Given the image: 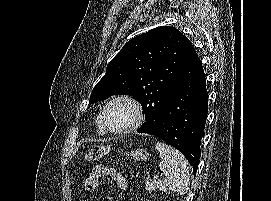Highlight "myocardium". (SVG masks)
Returning <instances> with one entry per match:
<instances>
[{
	"label": "myocardium",
	"mask_w": 271,
	"mask_h": 201,
	"mask_svg": "<svg viewBox=\"0 0 271 201\" xmlns=\"http://www.w3.org/2000/svg\"><path fill=\"white\" fill-rule=\"evenodd\" d=\"M119 101L127 102L128 104L131 105V107L133 108L135 112V120L131 125L125 128L115 129L111 127L109 123L107 122L106 111L111 104L115 102H119ZM100 120L102 122L103 127L105 128L107 132H110L113 134H128V133L138 130L143 125L145 121V116H144L142 105L139 103L137 99L127 94H121V95H116L106 101V103L103 105L100 112Z\"/></svg>",
	"instance_id": "myocardium-1"
}]
</instances>
